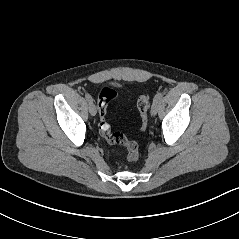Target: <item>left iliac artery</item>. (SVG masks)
Returning a JSON list of instances; mask_svg holds the SVG:
<instances>
[{"label": "left iliac artery", "instance_id": "obj_1", "mask_svg": "<svg viewBox=\"0 0 239 239\" xmlns=\"http://www.w3.org/2000/svg\"><path fill=\"white\" fill-rule=\"evenodd\" d=\"M161 98H162V93H161V92H158V93L154 96L153 101H159Z\"/></svg>", "mask_w": 239, "mask_h": 239}]
</instances>
